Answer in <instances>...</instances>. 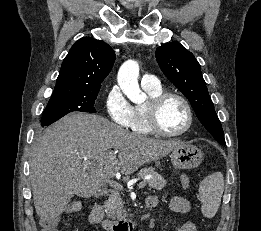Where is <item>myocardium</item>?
<instances>
[{
  "label": "myocardium",
  "instance_id": "obj_1",
  "mask_svg": "<svg viewBox=\"0 0 261 231\" xmlns=\"http://www.w3.org/2000/svg\"><path fill=\"white\" fill-rule=\"evenodd\" d=\"M170 98H176L182 102L187 112V123L183 129L176 132L165 131L159 124V111L162 105ZM146 121L153 133L167 136L177 137L185 134L193 125V110L189 101L181 94L176 92H162L161 94L149 99L145 104Z\"/></svg>",
  "mask_w": 261,
  "mask_h": 231
}]
</instances>
